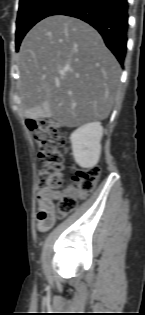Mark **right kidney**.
Masks as SVG:
<instances>
[{"label":"right kidney","mask_w":145,"mask_h":315,"mask_svg":"<svg viewBox=\"0 0 145 315\" xmlns=\"http://www.w3.org/2000/svg\"><path fill=\"white\" fill-rule=\"evenodd\" d=\"M102 136L103 127L100 122L87 123L71 134L73 156L80 167L91 168L98 163Z\"/></svg>","instance_id":"right-kidney-1"}]
</instances>
